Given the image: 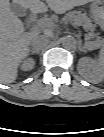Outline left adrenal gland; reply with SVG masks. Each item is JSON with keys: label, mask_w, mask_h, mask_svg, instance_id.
<instances>
[{"label": "left adrenal gland", "mask_w": 104, "mask_h": 137, "mask_svg": "<svg viewBox=\"0 0 104 137\" xmlns=\"http://www.w3.org/2000/svg\"><path fill=\"white\" fill-rule=\"evenodd\" d=\"M79 51H81V52H86V50L84 49L83 46H79Z\"/></svg>", "instance_id": "left-adrenal-gland-1"}]
</instances>
